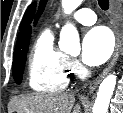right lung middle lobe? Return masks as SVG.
Instances as JSON below:
<instances>
[{
	"label": "right lung middle lobe",
	"mask_w": 123,
	"mask_h": 113,
	"mask_svg": "<svg viewBox=\"0 0 123 113\" xmlns=\"http://www.w3.org/2000/svg\"><path fill=\"white\" fill-rule=\"evenodd\" d=\"M28 46L29 42H26L21 46L17 47L14 51L12 74L17 84H20L22 82Z\"/></svg>",
	"instance_id": "dd1d6c3e"
}]
</instances>
